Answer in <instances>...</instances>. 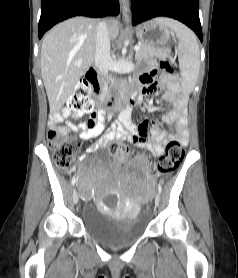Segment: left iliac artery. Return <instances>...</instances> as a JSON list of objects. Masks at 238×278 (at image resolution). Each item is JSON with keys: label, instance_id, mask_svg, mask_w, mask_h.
<instances>
[{"label": "left iliac artery", "instance_id": "44dca946", "mask_svg": "<svg viewBox=\"0 0 238 278\" xmlns=\"http://www.w3.org/2000/svg\"><path fill=\"white\" fill-rule=\"evenodd\" d=\"M158 191H159V193L162 192V186L160 184L158 185Z\"/></svg>", "mask_w": 238, "mask_h": 278}]
</instances>
